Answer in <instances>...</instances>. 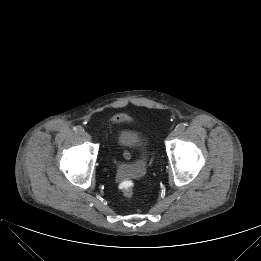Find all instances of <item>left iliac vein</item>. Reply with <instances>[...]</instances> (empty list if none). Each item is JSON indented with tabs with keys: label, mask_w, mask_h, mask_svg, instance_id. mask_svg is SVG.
<instances>
[{
	"label": "left iliac vein",
	"mask_w": 261,
	"mask_h": 261,
	"mask_svg": "<svg viewBox=\"0 0 261 261\" xmlns=\"http://www.w3.org/2000/svg\"><path fill=\"white\" fill-rule=\"evenodd\" d=\"M178 136V132L176 130L172 131L169 135H168V139H174Z\"/></svg>",
	"instance_id": "1"
}]
</instances>
